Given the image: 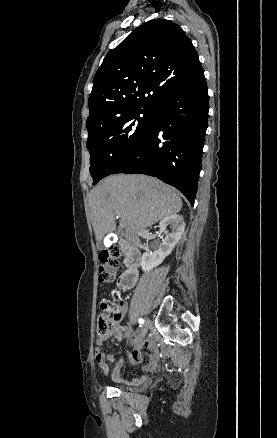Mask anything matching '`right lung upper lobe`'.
<instances>
[{"instance_id": "cb5924a9", "label": "right lung upper lobe", "mask_w": 277, "mask_h": 438, "mask_svg": "<svg viewBox=\"0 0 277 438\" xmlns=\"http://www.w3.org/2000/svg\"><path fill=\"white\" fill-rule=\"evenodd\" d=\"M170 65L178 68L169 71ZM203 72L198 54L181 27L170 20H150L110 51L97 70L88 100L87 128L153 109L164 94Z\"/></svg>"}]
</instances>
